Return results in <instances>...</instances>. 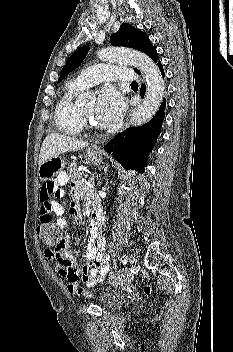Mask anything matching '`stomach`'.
Instances as JSON below:
<instances>
[{"label": "stomach", "instance_id": "1", "mask_svg": "<svg viewBox=\"0 0 233 352\" xmlns=\"http://www.w3.org/2000/svg\"><path fill=\"white\" fill-rule=\"evenodd\" d=\"M86 159L89 163L98 164L103 160V152L96 148H88L86 151ZM66 165L62 157H51L43 162L38 169V176L42 181L52 180Z\"/></svg>", "mask_w": 233, "mask_h": 352}]
</instances>
